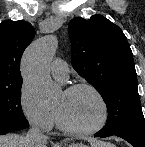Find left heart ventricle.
Wrapping results in <instances>:
<instances>
[{
	"instance_id": "obj_1",
	"label": "left heart ventricle",
	"mask_w": 145,
	"mask_h": 147,
	"mask_svg": "<svg viewBox=\"0 0 145 147\" xmlns=\"http://www.w3.org/2000/svg\"><path fill=\"white\" fill-rule=\"evenodd\" d=\"M54 108L69 125L78 129L95 126L102 117L100 102L88 89H79L72 93L62 92Z\"/></svg>"
}]
</instances>
